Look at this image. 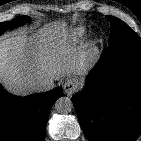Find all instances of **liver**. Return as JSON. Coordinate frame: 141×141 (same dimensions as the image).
Instances as JSON below:
<instances>
[{"label":"liver","mask_w":141,"mask_h":141,"mask_svg":"<svg viewBox=\"0 0 141 141\" xmlns=\"http://www.w3.org/2000/svg\"><path fill=\"white\" fill-rule=\"evenodd\" d=\"M65 30L60 23L46 24L32 36L14 33L0 38V82L10 92H35L39 79L60 80L66 74L84 75L98 57V51L81 48L64 57L59 46ZM61 54V55H60Z\"/></svg>","instance_id":"6515ba94"}]
</instances>
